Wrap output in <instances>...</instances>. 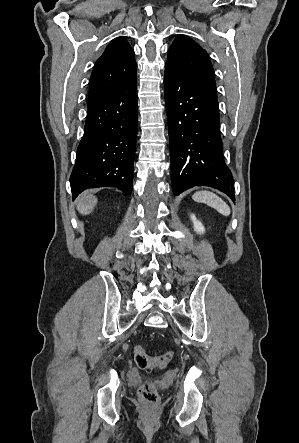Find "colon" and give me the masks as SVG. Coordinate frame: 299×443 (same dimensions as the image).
I'll return each mask as SVG.
<instances>
[{"instance_id":"5ec220e1","label":"colon","mask_w":299,"mask_h":443,"mask_svg":"<svg viewBox=\"0 0 299 443\" xmlns=\"http://www.w3.org/2000/svg\"><path fill=\"white\" fill-rule=\"evenodd\" d=\"M173 357L174 354L170 351L160 355L149 356L141 345H136L134 348L135 363L142 370L165 368ZM138 395L142 402L149 405H156L159 400L157 391L149 382H145L140 386Z\"/></svg>"}]
</instances>
